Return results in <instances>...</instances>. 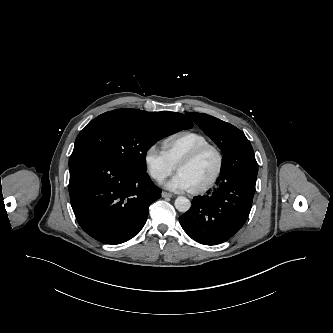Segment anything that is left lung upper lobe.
I'll use <instances>...</instances> for the list:
<instances>
[{"label": "left lung upper lobe", "instance_id": "obj_1", "mask_svg": "<svg viewBox=\"0 0 333 333\" xmlns=\"http://www.w3.org/2000/svg\"><path fill=\"white\" fill-rule=\"evenodd\" d=\"M187 115L214 141L224 156L240 145L249 143L242 131L227 122L203 113Z\"/></svg>", "mask_w": 333, "mask_h": 333}]
</instances>
